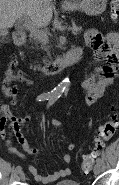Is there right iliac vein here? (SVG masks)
Returning <instances> with one entry per match:
<instances>
[{
    "mask_svg": "<svg viewBox=\"0 0 119 185\" xmlns=\"http://www.w3.org/2000/svg\"><path fill=\"white\" fill-rule=\"evenodd\" d=\"M19 177L21 181H25V173L23 171L19 172Z\"/></svg>",
    "mask_w": 119,
    "mask_h": 185,
    "instance_id": "obj_1",
    "label": "right iliac vein"
}]
</instances>
